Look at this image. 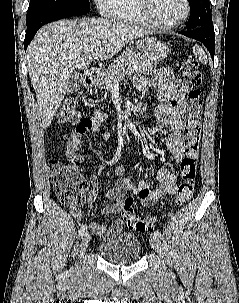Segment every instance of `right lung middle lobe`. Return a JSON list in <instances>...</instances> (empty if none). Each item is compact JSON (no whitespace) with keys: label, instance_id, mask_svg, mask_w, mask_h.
<instances>
[{"label":"right lung middle lobe","instance_id":"dd1d6c3e","mask_svg":"<svg viewBox=\"0 0 239 303\" xmlns=\"http://www.w3.org/2000/svg\"><path fill=\"white\" fill-rule=\"evenodd\" d=\"M89 9V0H30L27 17L50 9Z\"/></svg>","mask_w":239,"mask_h":303}]
</instances>
